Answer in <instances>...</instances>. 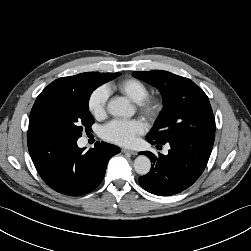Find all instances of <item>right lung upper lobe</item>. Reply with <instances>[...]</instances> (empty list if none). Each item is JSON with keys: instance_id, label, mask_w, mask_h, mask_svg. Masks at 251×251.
<instances>
[{"instance_id": "right-lung-upper-lobe-1", "label": "right lung upper lobe", "mask_w": 251, "mask_h": 251, "mask_svg": "<svg viewBox=\"0 0 251 251\" xmlns=\"http://www.w3.org/2000/svg\"><path fill=\"white\" fill-rule=\"evenodd\" d=\"M82 74H78L70 77L59 78L50 83L47 88H71L74 87L80 80Z\"/></svg>"}]
</instances>
